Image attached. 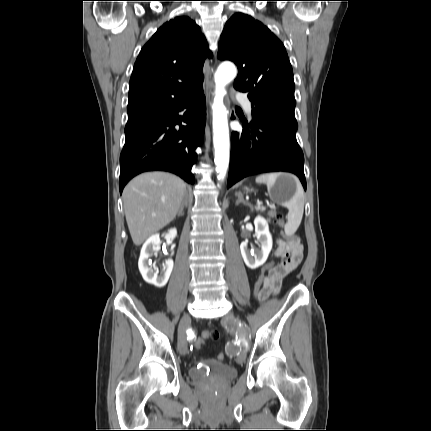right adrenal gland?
I'll use <instances>...</instances> for the list:
<instances>
[{
	"instance_id": "obj_1",
	"label": "right adrenal gland",
	"mask_w": 431,
	"mask_h": 431,
	"mask_svg": "<svg viewBox=\"0 0 431 431\" xmlns=\"http://www.w3.org/2000/svg\"><path fill=\"white\" fill-rule=\"evenodd\" d=\"M188 193L186 192L185 193V196H184V199H183V202H182V204H181V207H180V210H179V213H178V216H181V215H183V210H184V207L185 206H187V204H188Z\"/></svg>"
}]
</instances>
